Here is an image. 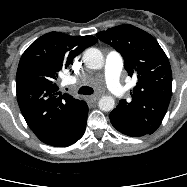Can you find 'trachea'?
<instances>
[{
  "label": "trachea",
  "mask_w": 187,
  "mask_h": 187,
  "mask_svg": "<svg viewBox=\"0 0 187 187\" xmlns=\"http://www.w3.org/2000/svg\"><path fill=\"white\" fill-rule=\"evenodd\" d=\"M93 89L91 87L88 86H82L79 90H78V94H83V95H90L93 94Z\"/></svg>",
  "instance_id": "obj_1"
}]
</instances>
